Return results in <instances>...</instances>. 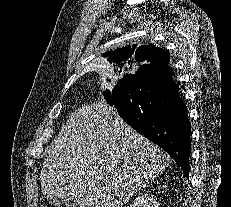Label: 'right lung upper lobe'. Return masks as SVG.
Returning a JSON list of instances; mask_svg holds the SVG:
<instances>
[{
	"label": "right lung upper lobe",
	"mask_w": 231,
	"mask_h": 207,
	"mask_svg": "<svg viewBox=\"0 0 231 207\" xmlns=\"http://www.w3.org/2000/svg\"><path fill=\"white\" fill-rule=\"evenodd\" d=\"M103 56L108 57L107 60L112 63L114 67L123 69L127 65H132V63H141L142 65L140 67L146 65H158L164 69L170 68L168 66L170 58L169 54L153 45L140 47H137L136 45L126 46L116 50L107 51ZM126 76H128V74L123 76V78Z\"/></svg>",
	"instance_id": "right-lung-upper-lobe-1"
}]
</instances>
